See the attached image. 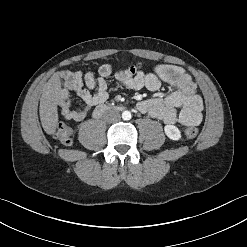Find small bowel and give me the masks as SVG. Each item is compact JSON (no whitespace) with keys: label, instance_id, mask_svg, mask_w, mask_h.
I'll list each match as a JSON object with an SVG mask.
<instances>
[{"label":"small bowel","instance_id":"1","mask_svg":"<svg viewBox=\"0 0 247 247\" xmlns=\"http://www.w3.org/2000/svg\"><path fill=\"white\" fill-rule=\"evenodd\" d=\"M112 74L117 86L130 90L146 88L156 91L162 83L176 88V91L166 97L140 101L137 104L140 112L166 124L178 122L184 126H196L201 123L203 102L196 93L194 82L183 68L171 64H161L152 71H139L134 75L128 74L126 70L114 71L110 64L101 65L97 76L93 72L62 71L58 99L61 115L67 120L79 121L85 118L90 110L103 105L109 98L107 79ZM71 92H76L85 105L72 108Z\"/></svg>","mask_w":247,"mask_h":247}]
</instances>
